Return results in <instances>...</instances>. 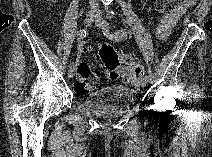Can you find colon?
<instances>
[{"mask_svg": "<svg viewBox=\"0 0 212 157\" xmlns=\"http://www.w3.org/2000/svg\"><path fill=\"white\" fill-rule=\"evenodd\" d=\"M171 9L172 3L169 1L160 2L157 5V11L161 15L169 14ZM99 54L106 74L111 79L122 78L125 82H131L134 79H139L144 73L143 67L130 53L120 51L111 45H102ZM99 79L100 72L98 70L79 66L74 84L75 91L79 94H85L97 86Z\"/></svg>", "mask_w": 212, "mask_h": 157, "instance_id": "5ec220e1", "label": "colon"}]
</instances>
